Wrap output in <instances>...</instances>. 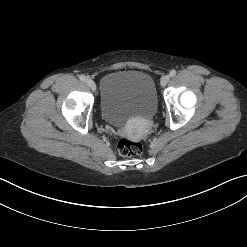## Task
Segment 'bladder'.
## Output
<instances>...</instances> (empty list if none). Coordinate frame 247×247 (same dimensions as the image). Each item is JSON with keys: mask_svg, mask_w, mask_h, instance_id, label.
Listing matches in <instances>:
<instances>
[{"mask_svg": "<svg viewBox=\"0 0 247 247\" xmlns=\"http://www.w3.org/2000/svg\"><path fill=\"white\" fill-rule=\"evenodd\" d=\"M101 114L105 122L126 127L135 118H152L158 106L154 81L141 71H118L99 82Z\"/></svg>", "mask_w": 247, "mask_h": 247, "instance_id": "31cf9c89", "label": "bladder"}]
</instances>
